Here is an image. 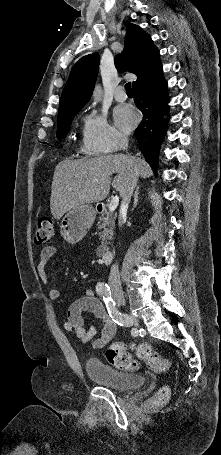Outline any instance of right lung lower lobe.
I'll return each instance as SVG.
<instances>
[{"instance_id":"right-lung-lower-lobe-1","label":"right lung lower lobe","mask_w":221,"mask_h":455,"mask_svg":"<svg viewBox=\"0 0 221 455\" xmlns=\"http://www.w3.org/2000/svg\"><path fill=\"white\" fill-rule=\"evenodd\" d=\"M167 83L163 77L159 56L148 65L133 85L134 102L143 113V119L135 130L141 151L154 172L157 169L158 151L163 141L168 113Z\"/></svg>"}]
</instances>
